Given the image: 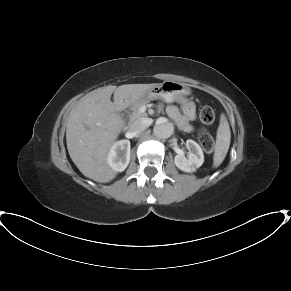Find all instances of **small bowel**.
<instances>
[{
    "label": "small bowel",
    "instance_id": "small-bowel-1",
    "mask_svg": "<svg viewBox=\"0 0 291 291\" xmlns=\"http://www.w3.org/2000/svg\"><path fill=\"white\" fill-rule=\"evenodd\" d=\"M180 104L182 110H180L176 104H171L167 107V114L169 118L183 131L191 132L193 130L190 121L195 117L196 104L186 98H178L175 100Z\"/></svg>",
    "mask_w": 291,
    "mask_h": 291
}]
</instances>
